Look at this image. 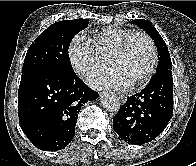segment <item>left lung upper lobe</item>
<instances>
[{
	"instance_id": "5c2ea615",
	"label": "left lung upper lobe",
	"mask_w": 196,
	"mask_h": 166,
	"mask_svg": "<svg viewBox=\"0 0 196 166\" xmlns=\"http://www.w3.org/2000/svg\"><path fill=\"white\" fill-rule=\"evenodd\" d=\"M132 23L137 24L138 26L142 27L147 33L152 37L154 40L157 50H158V56H159V62L157 66V73L165 70H171L172 69V62L170 59V54L168 51V48L161 37V35L158 33V31L155 29V27L147 20L144 19H136L132 20Z\"/></svg>"
}]
</instances>
